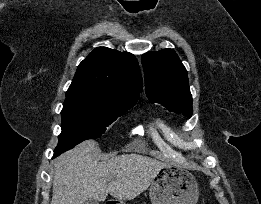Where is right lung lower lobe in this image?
Segmentation results:
<instances>
[{"label": "right lung lower lobe", "instance_id": "98d812e1", "mask_svg": "<svg viewBox=\"0 0 261 204\" xmlns=\"http://www.w3.org/2000/svg\"><path fill=\"white\" fill-rule=\"evenodd\" d=\"M57 155H59L57 152H54V156H57Z\"/></svg>", "mask_w": 261, "mask_h": 204}]
</instances>
